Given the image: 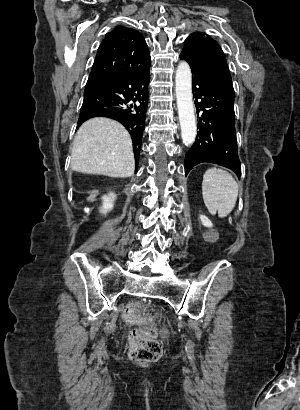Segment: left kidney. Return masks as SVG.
Listing matches in <instances>:
<instances>
[{
  "label": "left kidney",
  "instance_id": "obj_1",
  "mask_svg": "<svg viewBox=\"0 0 300 410\" xmlns=\"http://www.w3.org/2000/svg\"><path fill=\"white\" fill-rule=\"evenodd\" d=\"M200 220L205 227L211 228L213 226L211 220L205 215H200Z\"/></svg>",
  "mask_w": 300,
  "mask_h": 410
}]
</instances>
